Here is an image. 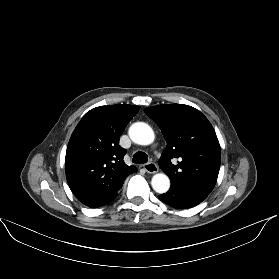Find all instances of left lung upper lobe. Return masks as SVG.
<instances>
[{
	"mask_svg": "<svg viewBox=\"0 0 279 279\" xmlns=\"http://www.w3.org/2000/svg\"><path fill=\"white\" fill-rule=\"evenodd\" d=\"M144 112L167 142L159 166L170 178L171 188L206 198L215 186L221 162L219 141L210 122L188 105H158Z\"/></svg>",
	"mask_w": 279,
	"mask_h": 279,
	"instance_id": "obj_1",
	"label": "left lung upper lobe"
}]
</instances>
